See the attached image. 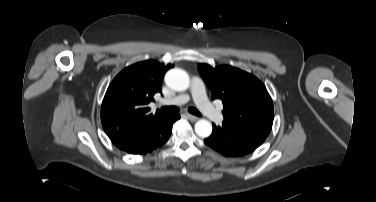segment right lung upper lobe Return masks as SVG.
Segmentation results:
<instances>
[{"instance_id":"1","label":"right lung upper lobe","mask_w":376,"mask_h":202,"mask_svg":"<svg viewBox=\"0 0 376 202\" xmlns=\"http://www.w3.org/2000/svg\"><path fill=\"white\" fill-rule=\"evenodd\" d=\"M171 67L148 60L125 68L114 78L101 107V122L113 143L167 115L159 110L150 114L147 105L161 92L164 74Z\"/></svg>"}]
</instances>
